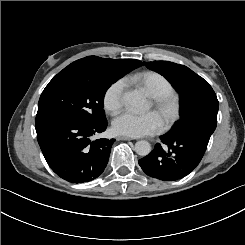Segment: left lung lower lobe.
Listing matches in <instances>:
<instances>
[{
    "mask_svg": "<svg viewBox=\"0 0 245 245\" xmlns=\"http://www.w3.org/2000/svg\"><path fill=\"white\" fill-rule=\"evenodd\" d=\"M217 99L199 109V114H189L181 124L160 137L161 145L138 161L148 176L162 181H176L190 174L200 163L210 136L217 125Z\"/></svg>",
    "mask_w": 245,
    "mask_h": 245,
    "instance_id": "1",
    "label": "left lung lower lobe"
}]
</instances>
